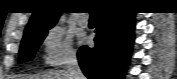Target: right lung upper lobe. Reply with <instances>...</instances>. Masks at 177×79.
I'll return each instance as SVG.
<instances>
[{"instance_id":"obj_1","label":"right lung upper lobe","mask_w":177,"mask_h":79,"mask_svg":"<svg viewBox=\"0 0 177 79\" xmlns=\"http://www.w3.org/2000/svg\"><path fill=\"white\" fill-rule=\"evenodd\" d=\"M49 8L50 7L44 3L34 11L26 26L23 39L30 37L40 30L50 29L55 25L61 12L48 11Z\"/></svg>"}]
</instances>
